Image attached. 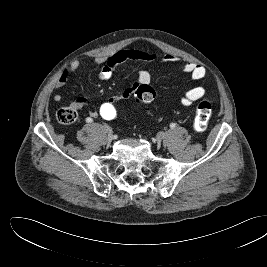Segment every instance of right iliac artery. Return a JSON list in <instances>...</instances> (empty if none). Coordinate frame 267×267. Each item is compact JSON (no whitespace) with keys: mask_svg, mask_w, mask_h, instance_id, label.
Wrapping results in <instances>:
<instances>
[{"mask_svg":"<svg viewBox=\"0 0 267 267\" xmlns=\"http://www.w3.org/2000/svg\"><path fill=\"white\" fill-rule=\"evenodd\" d=\"M87 121H88V122H91V121H92V119H91V118H87Z\"/></svg>","mask_w":267,"mask_h":267,"instance_id":"obj_1","label":"right iliac artery"}]
</instances>
